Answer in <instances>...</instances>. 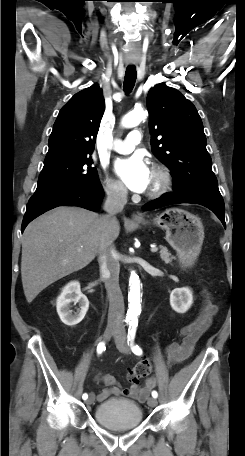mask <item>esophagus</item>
Listing matches in <instances>:
<instances>
[{"label": "esophagus", "mask_w": 245, "mask_h": 456, "mask_svg": "<svg viewBox=\"0 0 245 456\" xmlns=\"http://www.w3.org/2000/svg\"><path fill=\"white\" fill-rule=\"evenodd\" d=\"M132 219L134 220H139V219H142V216L138 213H133L132 214Z\"/></svg>", "instance_id": "obj_1"}]
</instances>
